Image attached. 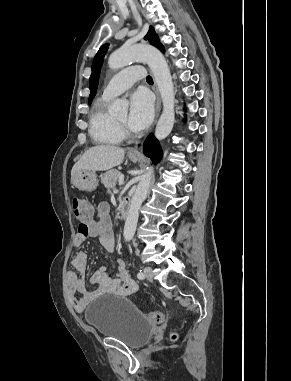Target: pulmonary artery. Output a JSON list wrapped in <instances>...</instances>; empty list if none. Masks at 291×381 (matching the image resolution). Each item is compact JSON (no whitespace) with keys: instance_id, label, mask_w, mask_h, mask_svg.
Segmentation results:
<instances>
[{"instance_id":"obj_1","label":"pulmonary artery","mask_w":291,"mask_h":381,"mask_svg":"<svg viewBox=\"0 0 291 381\" xmlns=\"http://www.w3.org/2000/svg\"><path fill=\"white\" fill-rule=\"evenodd\" d=\"M144 68L135 65L125 68L113 76L103 89L102 96L113 98L129 89L136 81L144 77Z\"/></svg>"}]
</instances>
